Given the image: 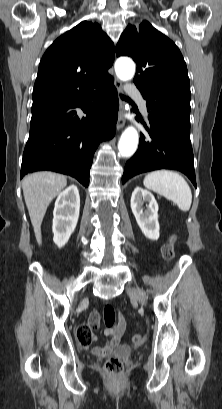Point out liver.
<instances>
[{
    "mask_svg": "<svg viewBox=\"0 0 222 409\" xmlns=\"http://www.w3.org/2000/svg\"><path fill=\"white\" fill-rule=\"evenodd\" d=\"M64 175L42 171L29 174L22 180V189L35 237L40 245L41 224L51 201L66 187Z\"/></svg>",
    "mask_w": 222,
    "mask_h": 409,
    "instance_id": "6515ba94",
    "label": "liver"
}]
</instances>
